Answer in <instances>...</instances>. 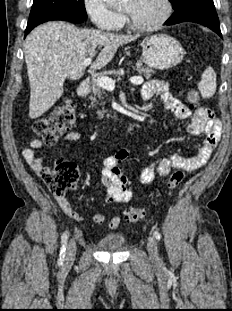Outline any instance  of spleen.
Returning a JSON list of instances; mask_svg holds the SVG:
<instances>
[{
  "label": "spleen",
  "mask_w": 232,
  "mask_h": 311,
  "mask_svg": "<svg viewBox=\"0 0 232 311\" xmlns=\"http://www.w3.org/2000/svg\"><path fill=\"white\" fill-rule=\"evenodd\" d=\"M216 87V73L213 68L209 67L202 73L198 89L202 97L210 98L215 94Z\"/></svg>",
  "instance_id": "1"
}]
</instances>
